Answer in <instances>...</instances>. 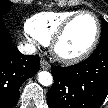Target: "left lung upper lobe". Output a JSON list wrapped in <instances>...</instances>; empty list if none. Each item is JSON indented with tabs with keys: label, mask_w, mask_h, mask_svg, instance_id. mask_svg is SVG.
<instances>
[{
	"label": "left lung upper lobe",
	"mask_w": 108,
	"mask_h": 108,
	"mask_svg": "<svg viewBox=\"0 0 108 108\" xmlns=\"http://www.w3.org/2000/svg\"><path fill=\"white\" fill-rule=\"evenodd\" d=\"M98 47L108 48V23L105 20H103L101 40Z\"/></svg>",
	"instance_id": "left-lung-upper-lobe-1"
}]
</instances>
